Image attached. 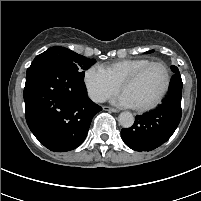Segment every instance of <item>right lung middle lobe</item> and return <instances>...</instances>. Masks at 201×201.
<instances>
[{
    "label": "right lung middle lobe",
    "mask_w": 201,
    "mask_h": 201,
    "mask_svg": "<svg viewBox=\"0 0 201 201\" xmlns=\"http://www.w3.org/2000/svg\"><path fill=\"white\" fill-rule=\"evenodd\" d=\"M52 62L65 65L76 71L80 78H84V70L95 63V59H88L64 47H51L36 56L32 63Z\"/></svg>",
    "instance_id": "dd1d6c3e"
}]
</instances>
